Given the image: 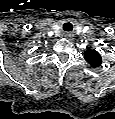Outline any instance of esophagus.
I'll use <instances>...</instances> for the list:
<instances>
[{"label": "esophagus", "instance_id": "esophagus-1", "mask_svg": "<svg viewBox=\"0 0 115 119\" xmlns=\"http://www.w3.org/2000/svg\"><path fill=\"white\" fill-rule=\"evenodd\" d=\"M64 37L68 40H72L73 39V34L67 32V33L64 34Z\"/></svg>", "mask_w": 115, "mask_h": 119}]
</instances>
